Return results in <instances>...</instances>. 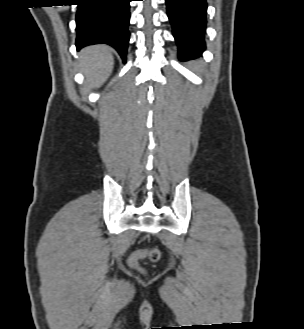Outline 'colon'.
Here are the masks:
<instances>
[{
  "mask_svg": "<svg viewBox=\"0 0 304 329\" xmlns=\"http://www.w3.org/2000/svg\"><path fill=\"white\" fill-rule=\"evenodd\" d=\"M145 256H148V258L152 262H157L160 259V253L156 249L150 250L148 252L138 251L130 256L129 265L134 269L142 271V269L139 266V260Z\"/></svg>",
  "mask_w": 304,
  "mask_h": 329,
  "instance_id": "colon-1",
  "label": "colon"
}]
</instances>
